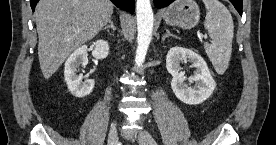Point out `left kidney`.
I'll use <instances>...</instances> for the list:
<instances>
[{
  "label": "left kidney",
  "mask_w": 276,
  "mask_h": 145,
  "mask_svg": "<svg viewBox=\"0 0 276 145\" xmlns=\"http://www.w3.org/2000/svg\"><path fill=\"white\" fill-rule=\"evenodd\" d=\"M190 62L196 68L188 78L193 87L185 83L184 72H180L181 62ZM167 71L172 75L171 87L175 96L183 103L197 105L208 99L213 93L216 83L204 59L195 51L184 47H172L166 57Z\"/></svg>",
  "instance_id": "obj_1"
}]
</instances>
